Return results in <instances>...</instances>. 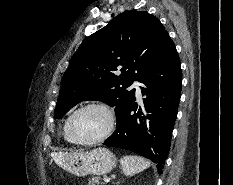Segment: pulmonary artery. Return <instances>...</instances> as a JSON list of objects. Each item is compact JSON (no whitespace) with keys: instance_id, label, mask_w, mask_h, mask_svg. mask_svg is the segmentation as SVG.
<instances>
[{"instance_id":"obj_1","label":"pulmonary artery","mask_w":233,"mask_h":185,"mask_svg":"<svg viewBox=\"0 0 233 185\" xmlns=\"http://www.w3.org/2000/svg\"><path fill=\"white\" fill-rule=\"evenodd\" d=\"M132 87L135 88L137 97L141 98L140 82L138 80H134Z\"/></svg>"}]
</instances>
